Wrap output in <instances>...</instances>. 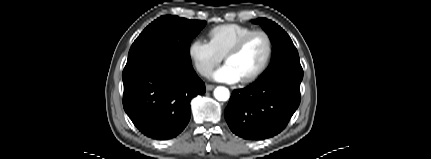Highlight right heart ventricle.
Here are the masks:
<instances>
[{
    "label": "right heart ventricle",
    "mask_w": 431,
    "mask_h": 159,
    "mask_svg": "<svg viewBox=\"0 0 431 159\" xmlns=\"http://www.w3.org/2000/svg\"><path fill=\"white\" fill-rule=\"evenodd\" d=\"M254 31L253 28L241 24H222L208 32L209 43L222 57L244 35Z\"/></svg>",
    "instance_id": "1"
}]
</instances>
